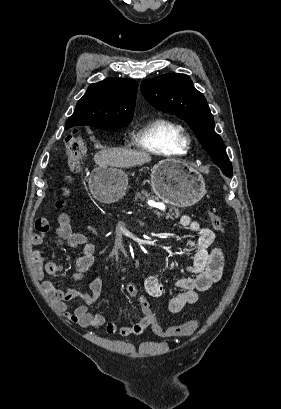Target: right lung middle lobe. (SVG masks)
I'll list each match as a JSON object with an SVG mask.
<instances>
[{
  "label": "right lung middle lobe",
  "instance_id": "dd1d6c3e",
  "mask_svg": "<svg viewBox=\"0 0 281 409\" xmlns=\"http://www.w3.org/2000/svg\"><path fill=\"white\" fill-rule=\"evenodd\" d=\"M128 124H121V125H94L93 127L103 129V130H117L121 127H124Z\"/></svg>",
  "mask_w": 281,
  "mask_h": 409
}]
</instances>
